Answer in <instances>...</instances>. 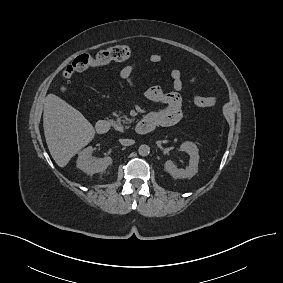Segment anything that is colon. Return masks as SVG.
<instances>
[{
  "label": "colon",
  "mask_w": 283,
  "mask_h": 283,
  "mask_svg": "<svg viewBox=\"0 0 283 283\" xmlns=\"http://www.w3.org/2000/svg\"><path fill=\"white\" fill-rule=\"evenodd\" d=\"M131 55L129 44L114 45L99 51L95 55L81 54L77 56L64 70V77L70 79L76 73L83 72L90 68L101 67L111 62L124 61ZM195 105L199 107H214L217 100L213 97L195 96Z\"/></svg>",
  "instance_id": "5ec220e1"
}]
</instances>
